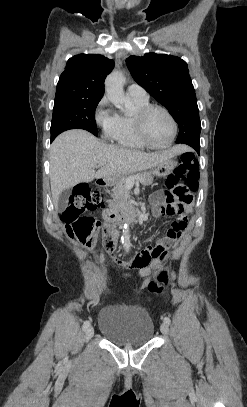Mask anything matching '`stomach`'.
<instances>
[{
	"label": "stomach",
	"mask_w": 247,
	"mask_h": 407,
	"mask_svg": "<svg viewBox=\"0 0 247 407\" xmlns=\"http://www.w3.org/2000/svg\"><path fill=\"white\" fill-rule=\"evenodd\" d=\"M177 166V161L176 159L170 158L162 163L158 164L156 167H154L151 171V173L155 176L159 177H166L170 175L173 170ZM121 179V176H111L109 178L105 179V182L108 186H113L115 185L119 180Z\"/></svg>",
	"instance_id": "0dacf381"
}]
</instances>
